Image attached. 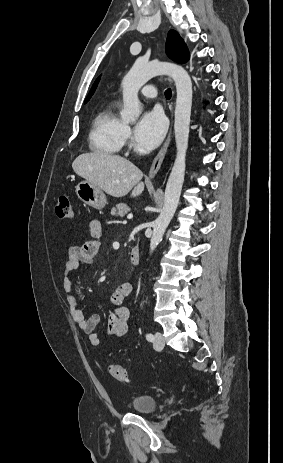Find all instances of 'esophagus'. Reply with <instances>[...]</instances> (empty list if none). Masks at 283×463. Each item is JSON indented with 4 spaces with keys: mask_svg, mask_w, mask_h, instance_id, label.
<instances>
[{
    "mask_svg": "<svg viewBox=\"0 0 283 463\" xmlns=\"http://www.w3.org/2000/svg\"><path fill=\"white\" fill-rule=\"evenodd\" d=\"M169 109H170V112H171V127H170L168 136H167L162 148L160 149L159 153L157 154V156L155 157V159H154V161H153V163L151 165V168H150V171H149V177L150 178H154L155 175L157 174V172L159 171V169L161 167V164L163 162V159L165 157V154L167 152V148H168V146L170 144L171 135H172V123H173V103L170 104Z\"/></svg>",
    "mask_w": 283,
    "mask_h": 463,
    "instance_id": "1",
    "label": "esophagus"
}]
</instances>
